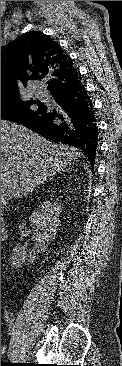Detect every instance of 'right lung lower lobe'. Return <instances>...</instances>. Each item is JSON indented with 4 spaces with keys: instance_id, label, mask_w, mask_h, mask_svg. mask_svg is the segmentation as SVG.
Returning <instances> with one entry per match:
<instances>
[{
    "instance_id": "obj_1",
    "label": "right lung lower lobe",
    "mask_w": 122,
    "mask_h": 366,
    "mask_svg": "<svg viewBox=\"0 0 122 366\" xmlns=\"http://www.w3.org/2000/svg\"><path fill=\"white\" fill-rule=\"evenodd\" d=\"M77 72L74 80L48 88L50 101L41 102L21 123L47 141L76 149L93 167L98 146V127L93 104Z\"/></svg>"
}]
</instances>
